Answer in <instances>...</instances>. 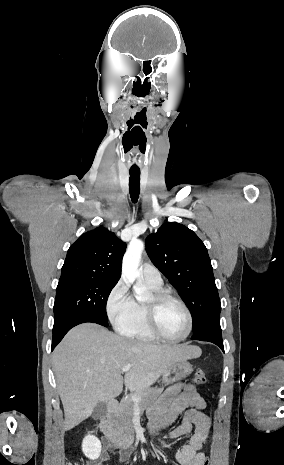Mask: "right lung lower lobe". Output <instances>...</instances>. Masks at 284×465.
<instances>
[{
    "label": "right lung lower lobe",
    "instance_id": "obj_1",
    "mask_svg": "<svg viewBox=\"0 0 284 465\" xmlns=\"http://www.w3.org/2000/svg\"><path fill=\"white\" fill-rule=\"evenodd\" d=\"M85 322H92L100 324L102 326H108V322L94 316L78 315L67 318L60 324L54 325L53 327V341L51 351H53V349L57 346V344L62 340V338L71 328Z\"/></svg>",
    "mask_w": 284,
    "mask_h": 465
}]
</instances>
